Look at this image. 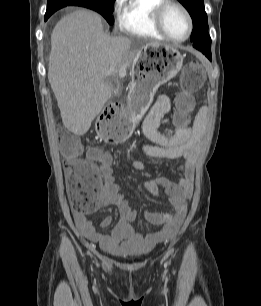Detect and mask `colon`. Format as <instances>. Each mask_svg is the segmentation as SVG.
<instances>
[{"label":"colon","mask_w":261,"mask_h":306,"mask_svg":"<svg viewBox=\"0 0 261 306\" xmlns=\"http://www.w3.org/2000/svg\"><path fill=\"white\" fill-rule=\"evenodd\" d=\"M204 78L205 72L199 62L192 60L186 64L179 79L185 102H188L189 96L200 88ZM113 108L120 109V106L109 107L107 111ZM186 122V118L181 117L180 124L184 126ZM101 130L113 142L125 141L131 134L130 127L123 122L106 123L101 125ZM60 143L62 152L68 158L75 157L80 150V143L73 135H62ZM67 189L71 206L75 211L86 212L90 210L93 206L94 194L98 190V175L94 166L91 164L74 166L67 176Z\"/></svg>","instance_id":"1"}]
</instances>
